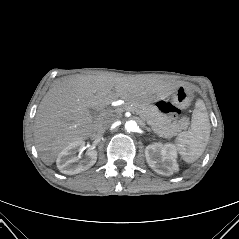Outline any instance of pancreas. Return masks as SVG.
Instances as JSON below:
<instances>
[{
  "label": "pancreas",
  "instance_id": "cf45deb5",
  "mask_svg": "<svg viewBox=\"0 0 239 239\" xmlns=\"http://www.w3.org/2000/svg\"><path fill=\"white\" fill-rule=\"evenodd\" d=\"M125 107L138 114L160 137L171 138L185 130L189 124L185 118L172 122L154 105L148 103L128 102Z\"/></svg>",
  "mask_w": 239,
  "mask_h": 239
}]
</instances>
